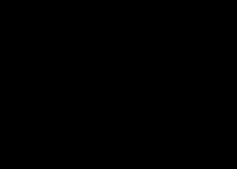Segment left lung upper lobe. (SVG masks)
I'll list each match as a JSON object with an SVG mask.
<instances>
[{"mask_svg": "<svg viewBox=\"0 0 237 169\" xmlns=\"http://www.w3.org/2000/svg\"><path fill=\"white\" fill-rule=\"evenodd\" d=\"M128 37L145 58L152 101L190 116L195 104L196 73L187 52L156 32L137 31Z\"/></svg>", "mask_w": 237, "mask_h": 169, "instance_id": "obj_1", "label": "left lung upper lobe"}]
</instances>
